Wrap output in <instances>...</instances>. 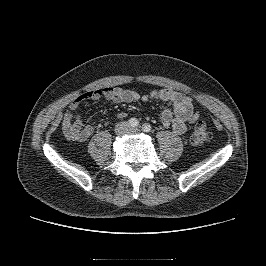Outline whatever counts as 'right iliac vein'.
<instances>
[{"instance_id": "1", "label": "right iliac vein", "mask_w": 266, "mask_h": 266, "mask_svg": "<svg viewBox=\"0 0 266 266\" xmlns=\"http://www.w3.org/2000/svg\"><path fill=\"white\" fill-rule=\"evenodd\" d=\"M127 131H128V124L125 122H120L119 124H117L115 128V133L118 135H123L127 133Z\"/></svg>"}]
</instances>
